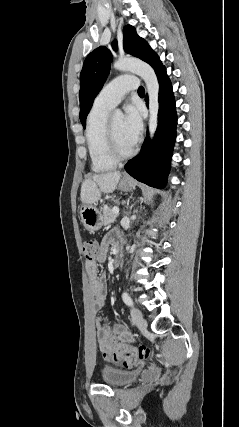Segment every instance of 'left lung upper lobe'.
I'll return each instance as SVG.
<instances>
[{
  "mask_svg": "<svg viewBox=\"0 0 239 427\" xmlns=\"http://www.w3.org/2000/svg\"><path fill=\"white\" fill-rule=\"evenodd\" d=\"M123 47L124 50L141 60L150 64L155 70L161 61L158 55L150 48L148 43L139 37L136 29L131 25L123 28ZM117 42H113V48L116 49ZM111 52L106 47H98L92 51L84 61L80 75V121L85 128L86 117L92 107L94 98L102 89L104 82L110 72Z\"/></svg>",
  "mask_w": 239,
  "mask_h": 427,
  "instance_id": "left-lung-upper-lobe-1",
  "label": "left lung upper lobe"
}]
</instances>
